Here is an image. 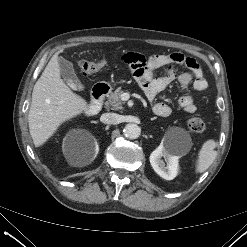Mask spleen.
Listing matches in <instances>:
<instances>
[{"instance_id":"1","label":"spleen","mask_w":247,"mask_h":247,"mask_svg":"<svg viewBox=\"0 0 247 247\" xmlns=\"http://www.w3.org/2000/svg\"><path fill=\"white\" fill-rule=\"evenodd\" d=\"M217 147V142L214 140H207L199 151L198 161H197V173H203L206 171L216 158V151L214 150Z\"/></svg>"}]
</instances>
